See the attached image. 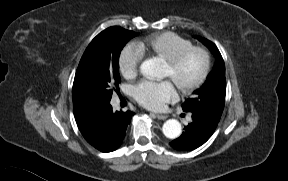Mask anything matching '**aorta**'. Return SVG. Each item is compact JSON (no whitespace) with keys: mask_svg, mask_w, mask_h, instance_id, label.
<instances>
[{"mask_svg":"<svg viewBox=\"0 0 288 181\" xmlns=\"http://www.w3.org/2000/svg\"><path fill=\"white\" fill-rule=\"evenodd\" d=\"M140 72L146 78L152 79L160 76L159 64L154 59L144 61L140 66ZM163 134L169 139L178 138L181 134V124L176 119H169L163 124Z\"/></svg>","mask_w":288,"mask_h":181,"instance_id":"obj_1","label":"aorta"}]
</instances>
